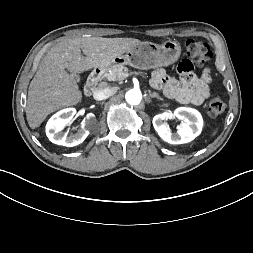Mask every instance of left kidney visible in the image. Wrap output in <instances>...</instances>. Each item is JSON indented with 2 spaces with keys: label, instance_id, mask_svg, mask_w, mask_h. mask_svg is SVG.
<instances>
[{
  "label": "left kidney",
  "instance_id": "left-kidney-1",
  "mask_svg": "<svg viewBox=\"0 0 253 253\" xmlns=\"http://www.w3.org/2000/svg\"><path fill=\"white\" fill-rule=\"evenodd\" d=\"M174 116L182 121L176 133H172L165 122ZM153 126L164 141L170 144H183L192 141L201 133L203 120L201 114L197 110L179 107L173 113L167 111L154 116Z\"/></svg>",
  "mask_w": 253,
  "mask_h": 253
}]
</instances>
